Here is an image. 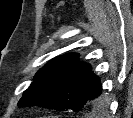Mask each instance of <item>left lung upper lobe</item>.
I'll return each instance as SVG.
<instances>
[{
  "mask_svg": "<svg viewBox=\"0 0 133 118\" xmlns=\"http://www.w3.org/2000/svg\"><path fill=\"white\" fill-rule=\"evenodd\" d=\"M99 81L91 66L78 60V54H65L38 71L18 106L78 112L87 106Z\"/></svg>",
  "mask_w": 133,
  "mask_h": 118,
  "instance_id": "left-lung-upper-lobe-1",
  "label": "left lung upper lobe"
}]
</instances>
